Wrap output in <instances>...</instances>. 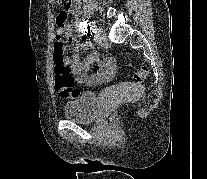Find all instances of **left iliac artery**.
I'll return each mask as SVG.
<instances>
[{
    "instance_id": "left-iliac-artery-1",
    "label": "left iliac artery",
    "mask_w": 207,
    "mask_h": 179,
    "mask_svg": "<svg viewBox=\"0 0 207 179\" xmlns=\"http://www.w3.org/2000/svg\"><path fill=\"white\" fill-rule=\"evenodd\" d=\"M89 28L91 32H95L96 33V24L94 22H90L89 23Z\"/></svg>"
}]
</instances>
